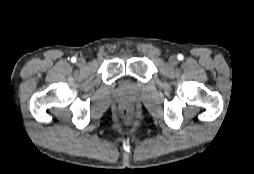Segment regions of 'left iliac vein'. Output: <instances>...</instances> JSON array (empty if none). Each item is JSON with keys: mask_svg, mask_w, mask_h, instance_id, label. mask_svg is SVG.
<instances>
[{"mask_svg": "<svg viewBox=\"0 0 254 174\" xmlns=\"http://www.w3.org/2000/svg\"><path fill=\"white\" fill-rule=\"evenodd\" d=\"M169 63H170L171 65H177V64H178V59H177V57L174 56V55L170 56V57H169Z\"/></svg>", "mask_w": 254, "mask_h": 174, "instance_id": "left-iliac-vein-1", "label": "left iliac vein"}]
</instances>
